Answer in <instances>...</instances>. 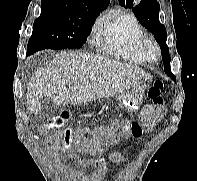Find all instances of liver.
I'll return each instance as SVG.
<instances>
[{"label":"liver","mask_w":197,"mask_h":181,"mask_svg":"<svg viewBox=\"0 0 197 181\" xmlns=\"http://www.w3.org/2000/svg\"><path fill=\"white\" fill-rule=\"evenodd\" d=\"M149 80L151 75L135 65L102 55L64 51L31 78L27 109L38 113L44 98L55 105L88 103L122 94ZM70 81L74 85L67 88Z\"/></svg>","instance_id":"obj_1"}]
</instances>
